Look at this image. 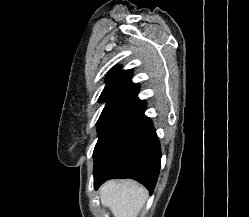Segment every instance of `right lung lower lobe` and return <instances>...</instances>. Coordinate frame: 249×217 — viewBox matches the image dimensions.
Returning <instances> with one entry per match:
<instances>
[{
  "instance_id": "obj_1",
  "label": "right lung lower lobe",
  "mask_w": 249,
  "mask_h": 217,
  "mask_svg": "<svg viewBox=\"0 0 249 217\" xmlns=\"http://www.w3.org/2000/svg\"><path fill=\"white\" fill-rule=\"evenodd\" d=\"M137 85L111 105L98 124L94 149V187L112 178H132L152 194L159 170L161 150L151 120L144 115Z\"/></svg>"
}]
</instances>
